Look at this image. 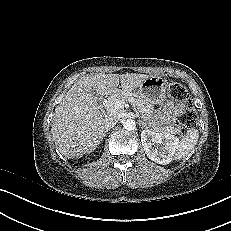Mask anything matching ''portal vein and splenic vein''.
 Returning a JSON list of instances; mask_svg holds the SVG:
<instances>
[{
    "label": "portal vein and splenic vein",
    "mask_w": 231,
    "mask_h": 231,
    "mask_svg": "<svg viewBox=\"0 0 231 231\" xmlns=\"http://www.w3.org/2000/svg\"><path fill=\"white\" fill-rule=\"evenodd\" d=\"M122 104H123V101H117V102L114 104V108L120 109V108H122Z\"/></svg>",
    "instance_id": "18ae733b"
}]
</instances>
